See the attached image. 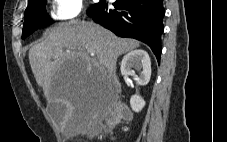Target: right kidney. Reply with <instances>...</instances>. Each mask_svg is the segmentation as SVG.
I'll list each match as a JSON object with an SVG mask.
<instances>
[{"label":"right kidney","mask_w":227,"mask_h":142,"mask_svg":"<svg viewBox=\"0 0 227 142\" xmlns=\"http://www.w3.org/2000/svg\"><path fill=\"white\" fill-rule=\"evenodd\" d=\"M134 68L138 75L135 74ZM121 74L126 78L131 76L138 85L148 84L151 77V61L145 50H133L126 54L121 62ZM130 105L134 112H140L145 106V101L139 95H133Z\"/></svg>","instance_id":"ca27d5eb"}]
</instances>
